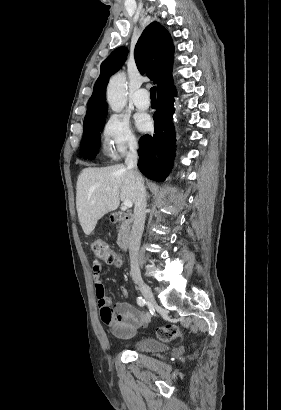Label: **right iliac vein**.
Here are the masks:
<instances>
[{"label": "right iliac vein", "mask_w": 281, "mask_h": 410, "mask_svg": "<svg viewBox=\"0 0 281 410\" xmlns=\"http://www.w3.org/2000/svg\"><path fill=\"white\" fill-rule=\"evenodd\" d=\"M138 288L141 291L142 295L151 303H155L154 296L150 287L143 281L137 282Z\"/></svg>", "instance_id": "obj_1"}]
</instances>
